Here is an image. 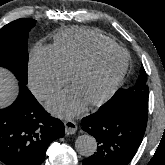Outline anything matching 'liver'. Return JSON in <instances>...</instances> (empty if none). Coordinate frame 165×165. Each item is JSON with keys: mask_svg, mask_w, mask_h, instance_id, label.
<instances>
[{"mask_svg": "<svg viewBox=\"0 0 165 165\" xmlns=\"http://www.w3.org/2000/svg\"><path fill=\"white\" fill-rule=\"evenodd\" d=\"M17 96V82L5 68H0V108L10 105Z\"/></svg>", "mask_w": 165, "mask_h": 165, "instance_id": "liver-1", "label": "liver"}]
</instances>
